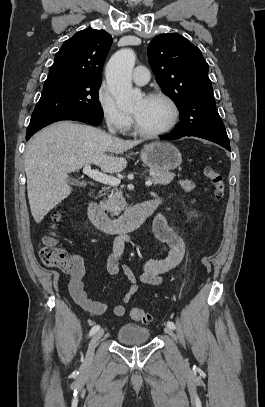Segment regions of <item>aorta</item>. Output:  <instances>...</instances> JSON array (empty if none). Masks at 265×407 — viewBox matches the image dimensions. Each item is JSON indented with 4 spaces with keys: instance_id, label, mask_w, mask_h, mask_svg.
<instances>
[{
    "instance_id": "obj_1",
    "label": "aorta",
    "mask_w": 265,
    "mask_h": 407,
    "mask_svg": "<svg viewBox=\"0 0 265 407\" xmlns=\"http://www.w3.org/2000/svg\"><path fill=\"white\" fill-rule=\"evenodd\" d=\"M136 55L131 49L117 51L106 65V81L120 108L132 107L141 99V92L132 88V71Z\"/></svg>"
}]
</instances>
